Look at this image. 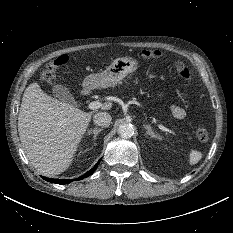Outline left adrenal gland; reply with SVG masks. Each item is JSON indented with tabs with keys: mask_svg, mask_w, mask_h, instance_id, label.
Masks as SVG:
<instances>
[{
	"mask_svg": "<svg viewBox=\"0 0 233 233\" xmlns=\"http://www.w3.org/2000/svg\"><path fill=\"white\" fill-rule=\"evenodd\" d=\"M143 127L147 130L146 133L151 137L155 139H161L159 135L155 134L152 130V127L150 125L144 124Z\"/></svg>",
	"mask_w": 233,
	"mask_h": 233,
	"instance_id": "obj_1",
	"label": "left adrenal gland"
}]
</instances>
